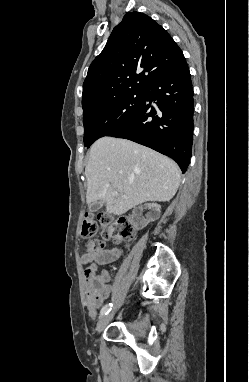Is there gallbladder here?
<instances>
[{"mask_svg": "<svg viewBox=\"0 0 249 382\" xmlns=\"http://www.w3.org/2000/svg\"><path fill=\"white\" fill-rule=\"evenodd\" d=\"M104 206V202L99 200L89 204V211L96 212Z\"/></svg>", "mask_w": 249, "mask_h": 382, "instance_id": "gallbladder-1", "label": "gallbladder"}]
</instances>
